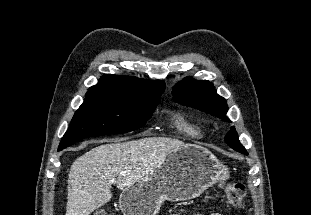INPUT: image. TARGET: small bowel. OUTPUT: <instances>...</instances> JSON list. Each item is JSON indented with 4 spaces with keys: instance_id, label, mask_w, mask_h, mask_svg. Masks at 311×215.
Segmentation results:
<instances>
[{
    "instance_id": "c3829d8e",
    "label": "small bowel",
    "mask_w": 311,
    "mask_h": 215,
    "mask_svg": "<svg viewBox=\"0 0 311 215\" xmlns=\"http://www.w3.org/2000/svg\"><path fill=\"white\" fill-rule=\"evenodd\" d=\"M193 215H222V214H219V213H195Z\"/></svg>"
}]
</instances>
